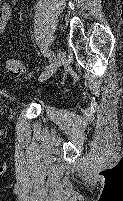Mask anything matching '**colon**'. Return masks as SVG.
<instances>
[{
	"label": "colon",
	"instance_id": "obj_1",
	"mask_svg": "<svg viewBox=\"0 0 123 201\" xmlns=\"http://www.w3.org/2000/svg\"><path fill=\"white\" fill-rule=\"evenodd\" d=\"M7 70L12 75H20L25 70V64L22 60L18 58H10L7 61Z\"/></svg>",
	"mask_w": 123,
	"mask_h": 201
}]
</instances>
